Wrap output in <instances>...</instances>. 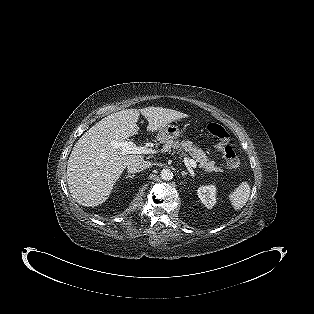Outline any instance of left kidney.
I'll return each instance as SVG.
<instances>
[{"label":"left kidney","instance_id":"left-kidney-1","mask_svg":"<svg viewBox=\"0 0 314 314\" xmlns=\"http://www.w3.org/2000/svg\"><path fill=\"white\" fill-rule=\"evenodd\" d=\"M201 202L211 209L216 203V187L214 185L201 186L197 190Z\"/></svg>","mask_w":314,"mask_h":314}]
</instances>
